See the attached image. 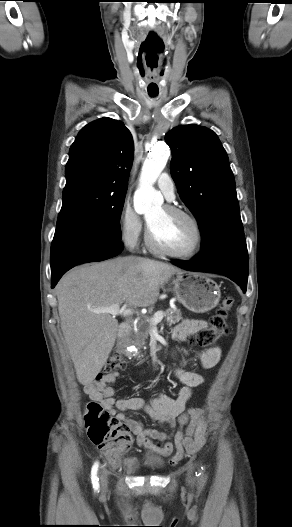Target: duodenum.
I'll return each mask as SVG.
<instances>
[{
    "mask_svg": "<svg viewBox=\"0 0 292 527\" xmlns=\"http://www.w3.org/2000/svg\"><path fill=\"white\" fill-rule=\"evenodd\" d=\"M130 329H131V325L129 322L121 323V325L119 326V331H118L119 339L125 338L127 334L129 333Z\"/></svg>",
    "mask_w": 292,
    "mask_h": 527,
    "instance_id": "1",
    "label": "duodenum"
}]
</instances>
